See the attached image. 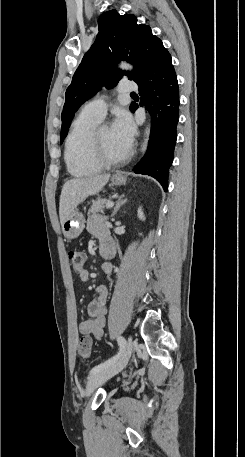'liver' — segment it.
I'll return each instance as SVG.
<instances>
[{"mask_svg": "<svg viewBox=\"0 0 245 457\" xmlns=\"http://www.w3.org/2000/svg\"><path fill=\"white\" fill-rule=\"evenodd\" d=\"M109 178L110 174H97V176H90V178H70L67 180L63 184L60 194L59 216L61 224L86 196L100 192Z\"/></svg>", "mask_w": 245, "mask_h": 457, "instance_id": "6515ba94", "label": "liver"}]
</instances>
